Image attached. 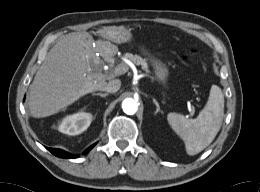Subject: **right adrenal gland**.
Returning <instances> with one entry per match:
<instances>
[{
  "mask_svg": "<svg viewBox=\"0 0 260 192\" xmlns=\"http://www.w3.org/2000/svg\"><path fill=\"white\" fill-rule=\"evenodd\" d=\"M93 96H100V97H106L108 93H93Z\"/></svg>",
  "mask_w": 260,
  "mask_h": 192,
  "instance_id": "1",
  "label": "right adrenal gland"
}]
</instances>
